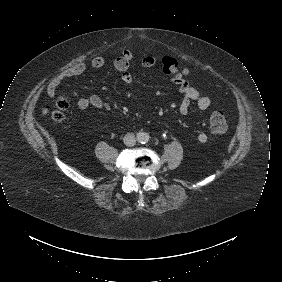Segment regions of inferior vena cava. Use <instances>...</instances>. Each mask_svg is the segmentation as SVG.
Masks as SVG:
<instances>
[{
    "mask_svg": "<svg viewBox=\"0 0 282 282\" xmlns=\"http://www.w3.org/2000/svg\"><path fill=\"white\" fill-rule=\"evenodd\" d=\"M123 142L126 146L132 147L136 144V137L134 133H127L124 138Z\"/></svg>",
    "mask_w": 282,
    "mask_h": 282,
    "instance_id": "inferior-vena-cava-1",
    "label": "inferior vena cava"
}]
</instances>
